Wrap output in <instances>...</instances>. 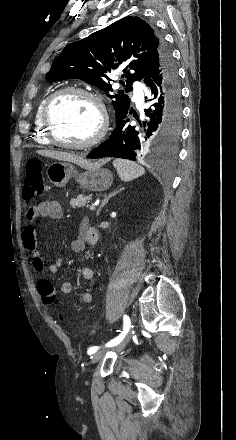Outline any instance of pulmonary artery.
I'll return each mask as SVG.
<instances>
[{
  "instance_id": "1",
  "label": "pulmonary artery",
  "mask_w": 236,
  "mask_h": 440,
  "mask_svg": "<svg viewBox=\"0 0 236 440\" xmlns=\"http://www.w3.org/2000/svg\"><path fill=\"white\" fill-rule=\"evenodd\" d=\"M134 85H135V87H134V90H135V97H134V99H135V101L138 104H141L142 103V94L144 92V87H143L142 83L139 82V81L134 82Z\"/></svg>"
}]
</instances>
